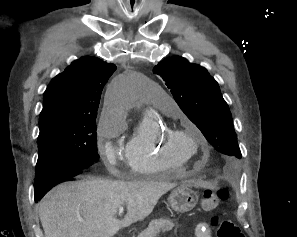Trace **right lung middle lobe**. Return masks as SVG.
I'll use <instances>...</instances> for the list:
<instances>
[{"mask_svg":"<svg viewBox=\"0 0 297 237\" xmlns=\"http://www.w3.org/2000/svg\"><path fill=\"white\" fill-rule=\"evenodd\" d=\"M96 118H56L39 124L34 188L44 189L64 171L84 172L99 159Z\"/></svg>","mask_w":297,"mask_h":237,"instance_id":"dd1d6c3e","label":"right lung middle lobe"}]
</instances>
